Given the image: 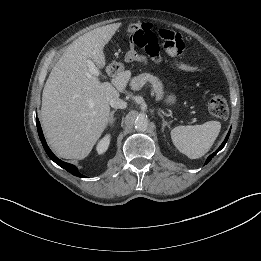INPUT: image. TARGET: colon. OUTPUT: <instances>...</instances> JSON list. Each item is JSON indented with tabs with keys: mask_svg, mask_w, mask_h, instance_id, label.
<instances>
[{
	"mask_svg": "<svg viewBox=\"0 0 261 261\" xmlns=\"http://www.w3.org/2000/svg\"><path fill=\"white\" fill-rule=\"evenodd\" d=\"M128 33L131 34L132 42L145 50L148 57L155 61H160V46L157 35L160 36L164 48L169 55H180L184 49V43L180 35L169 32L168 30H158L150 28L148 21L142 24L130 23L127 26ZM180 66L187 70H194L196 65L180 63ZM208 110L211 115L225 119L229 114V107L226 99L223 96H214L208 102Z\"/></svg>",
	"mask_w": 261,
	"mask_h": 261,
	"instance_id": "colon-1",
	"label": "colon"
}]
</instances>
